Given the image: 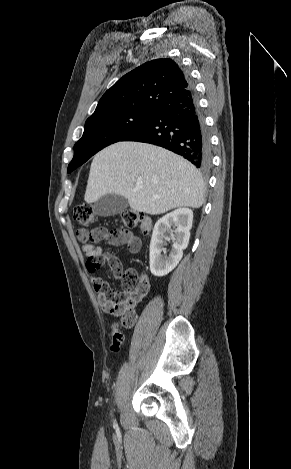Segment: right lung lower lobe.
<instances>
[{
    "mask_svg": "<svg viewBox=\"0 0 291 469\" xmlns=\"http://www.w3.org/2000/svg\"><path fill=\"white\" fill-rule=\"evenodd\" d=\"M121 141L161 146L201 170L211 165V143L191 83L159 104L143 125Z\"/></svg>",
    "mask_w": 291,
    "mask_h": 469,
    "instance_id": "1",
    "label": "right lung lower lobe"
}]
</instances>
